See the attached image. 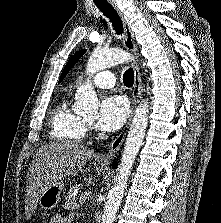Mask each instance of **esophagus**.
Wrapping results in <instances>:
<instances>
[{"label": "esophagus", "instance_id": "1", "mask_svg": "<svg viewBox=\"0 0 221 223\" xmlns=\"http://www.w3.org/2000/svg\"><path fill=\"white\" fill-rule=\"evenodd\" d=\"M108 2L112 5V7L116 10L118 13L122 24L124 28V45L126 49L134 56V86L132 91V104H131V111L130 116L122 129V131L119 133V135L111 142L109 145V148L107 152L100 154L96 157V162L100 164H108L110 160L114 157V155L118 152L120 149L125 136L127 134L128 128L130 126L132 117L139 105V102L142 97V80H141V73L139 69V55H138V49L136 46V43L134 41V36L132 33V30L127 23L125 17L123 16V13L119 10L118 5L115 3L114 0H108Z\"/></svg>", "mask_w": 221, "mask_h": 223}]
</instances>
